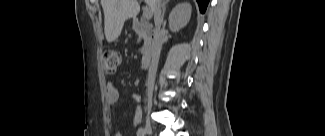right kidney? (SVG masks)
Wrapping results in <instances>:
<instances>
[{
	"mask_svg": "<svg viewBox=\"0 0 325 136\" xmlns=\"http://www.w3.org/2000/svg\"><path fill=\"white\" fill-rule=\"evenodd\" d=\"M192 7L189 3L178 4L169 15V28L173 32H178L185 27L190 20Z\"/></svg>",
	"mask_w": 325,
	"mask_h": 136,
	"instance_id": "1",
	"label": "right kidney"
}]
</instances>
